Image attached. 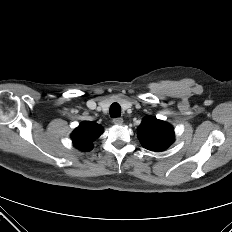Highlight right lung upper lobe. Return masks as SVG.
<instances>
[{
    "instance_id": "cb5924a9",
    "label": "right lung upper lobe",
    "mask_w": 232,
    "mask_h": 232,
    "mask_svg": "<svg viewBox=\"0 0 232 232\" xmlns=\"http://www.w3.org/2000/svg\"><path fill=\"white\" fill-rule=\"evenodd\" d=\"M102 127L95 122H83L72 133L73 144L82 151L92 149V142L100 136Z\"/></svg>"
}]
</instances>
